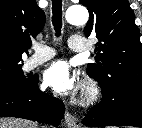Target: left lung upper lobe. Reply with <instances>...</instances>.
Segmentation results:
<instances>
[{
    "instance_id": "obj_1",
    "label": "left lung upper lobe",
    "mask_w": 142,
    "mask_h": 128,
    "mask_svg": "<svg viewBox=\"0 0 142 128\" xmlns=\"http://www.w3.org/2000/svg\"><path fill=\"white\" fill-rule=\"evenodd\" d=\"M90 18L85 35H96V63L87 74L99 81L102 92L142 91V44L128 0H80Z\"/></svg>"
}]
</instances>
